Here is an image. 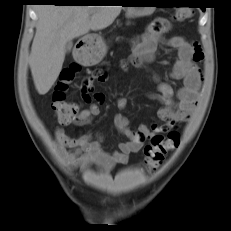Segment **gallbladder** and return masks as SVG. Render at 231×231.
Segmentation results:
<instances>
[{"instance_id":"bac80fb5","label":"gallbladder","mask_w":231,"mask_h":231,"mask_svg":"<svg viewBox=\"0 0 231 231\" xmlns=\"http://www.w3.org/2000/svg\"><path fill=\"white\" fill-rule=\"evenodd\" d=\"M73 46V42L70 40L65 45V52H70Z\"/></svg>"}]
</instances>
